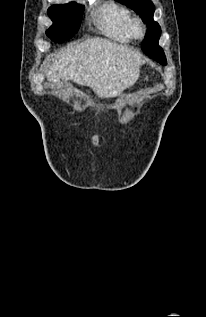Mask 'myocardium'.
Instances as JSON below:
<instances>
[{"label":"myocardium","instance_id":"f54148a6","mask_svg":"<svg viewBox=\"0 0 206 317\" xmlns=\"http://www.w3.org/2000/svg\"><path fill=\"white\" fill-rule=\"evenodd\" d=\"M132 33L136 38H142L145 35V24L140 17L132 18L131 22Z\"/></svg>","mask_w":206,"mask_h":317}]
</instances>
